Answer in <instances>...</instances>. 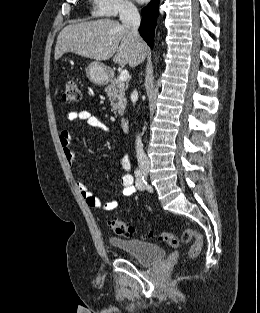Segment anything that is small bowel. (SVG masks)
Returning a JSON list of instances; mask_svg holds the SVG:
<instances>
[{"instance_id":"1","label":"small bowel","mask_w":260,"mask_h":313,"mask_svg":"<svg viewBox=\"0 0 260 313\" xmlns=\"http://www.w3.org/2000/svg\"><path fill=\"white\" fill-rule=\"evenodd\" d=\"M69 121L81 120L85 121L89 126L100 129L104 132L109 133V127L103 123L98 117L91 114L87 110L72 111L68 115ZM72 132L69 129H64L59 135V143L65 158V161L75 176H78L77 165L74 157V151L71 147ZM120 164L123 169V174L120 179L121 193L124 196H132L135 194L136 189L134 187V179L130 173L131 163L127 155H122L120 157ZM77 189L84 199L86 204L94 209H103L105 211H113L118 206V201L115 199L109 200L107 202H102L98 197H96L87 187V185L78 180Z\"/></svg>"}]
</instances>
